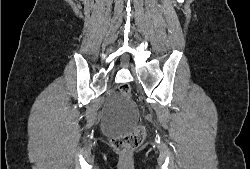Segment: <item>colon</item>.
I'll return each instance as SVG.
<instances>
[{"instance_id":"5ec220e1","label":"colon","mask_w":250,"mask_h":169,"mask_svg":"<svg viewBox=\"0 0 250 169\" xmlns=\"http://www.w3.org/2000/svg\"><path fill=\"white\" fill-rule=\"evenodd\" d=\"M132 88L129 85L123 84L120 87V92L123 97H131L132 100ZM147 130L145 126H136L135 130L129 134H119L114 138L110 139L109 145L112 150H117L119 155H132L133 150H137V147L144 142L146 139ZM119 169H133L134 165L131 161H121Z\"/></svg>"}]
</instances>
